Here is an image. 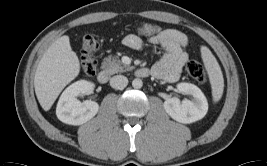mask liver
<instances>
[{
    "label": "liver",
    "instance_id": "obj_1",
    "mask_svg": "<svg viewBox=\"0 0 267 166\" xmlns=\"http://www.w3.org/2000/svg\"><path fill=\"white\" fill-rule=\"evenodd\" d=\"M80 72L77 54L69 37L58 38L43 54L34 77V88L41 107L48 111L64 87Z\"/></svg>",
    "mask_w": 267,
    "mask_h": 166
}]
</instances>
